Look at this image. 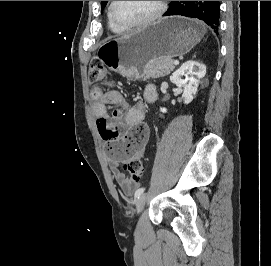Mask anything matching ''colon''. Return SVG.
Instances as JSON below:
<instances>
[{
	"instance_id": "colon-1",
	"label": "colon",
	"mask_w": 271,
	"mask_h": 266,
	"mask_svg": "<svg viewBox=\"0 0 271 266\" xmlns=\"http://www.w3.org/2000/svg\"><path fill=\"white\" fill-rule=\"evenodd\" d=\"M106 75V70L98 60H93L88 71V79L90 82L102 80ZM124 171L131 177L132 180L139 182L144 174L143 162L139 159H132L126 162L123 166Z\"/></svg>"
}]
</instances>
